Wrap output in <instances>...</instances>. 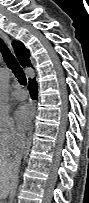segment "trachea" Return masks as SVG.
I'll use <instances>...</instances> for the list:
<instances>
[{
    "mask_svg": "<svg viewBox=\"0 0 89 203\" xmlns=\"http://www.w3.org/2000/svg\"><path fill=\"white\" fill-rule=\"evenodd\" d=\"M0 52L5 63L13 71L20 84L25 86L27 84V80L24 71L2 39H0Z\"/></svg>",
    "mask_w": 89,
    "mask_h": 203,
    "instance_id": "obj_1",
    "label": "trachea"
}]
</instances>
